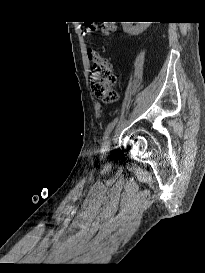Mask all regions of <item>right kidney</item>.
<instances>
[{
    "instance_id": "right-kidney-1",
    "label": "right kidney",
    "mask_w": 205,
    "mask_h": 273,
    "mask_svg": "<svg viewBox=\"0 0 205 273\" xmlns=\"http://www.w3.org/2000/svg\"><path fill=\"white\" fill-rule=\"evenodd\" d=\"M123 30L127 33L136 35L143 32L150 24V22H137L132 26L133 22H123Z\"/></svg>"
}]
</instances>
